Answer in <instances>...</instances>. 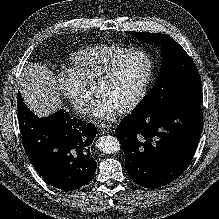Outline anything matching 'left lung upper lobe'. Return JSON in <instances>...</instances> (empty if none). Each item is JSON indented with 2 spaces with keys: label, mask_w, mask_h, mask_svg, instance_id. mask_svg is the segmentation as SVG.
I'll return each instance as SVG.
<instances>
[{
  "label": "left lung upper lobe",
  "mask_w": 219,
  "mask_h": 219,
  "mask_svg": "<svg viewBox=\"0 0 219 219\" xmlns=\"http://www.w3.org/2000/svg\"><path fill=\"white\" fill-rule=\"evenodd\" d=\"M131 33L138 40L159 43L165 61L155 86L132 114L155 113L183 101L201 98L198 69L174 39L160 33Z\"/></svg>",
  "instance_id": "5c2ea615"
}]
</instances>
